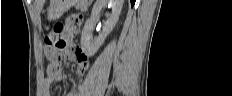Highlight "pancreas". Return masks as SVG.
<instances>
[{"instance_id": "pancreas-1", "label": "pancreas", "mask_w": 232, "mask_h": 96, "mask_svg": "<svg viewBox=\"0 0 232 96\" xmlns=\"http://www.w3.org/2000/svg\"><path fill=\"white\" fill-rule=\"evenodd\" d=\"M87 8H88V4L85 2H80L76 5V9H80L83 12H85Z\"/></svg>"}]
</instances>
